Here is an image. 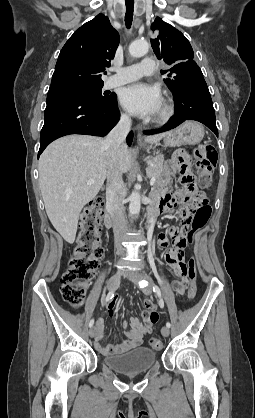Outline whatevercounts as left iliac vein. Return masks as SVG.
Instances as JSON below:
<instances>
[{
    "mask_svg": "<svg viewBox=\"0 0 255 418\" xmlns=\"http://www.w3.org/2000/svg\"><path fill=\"white\" fill-rule=\"evenodd\" d=\"M126 277L128 279H130L131 281L137 282L140 279H145L147 278L144 274L138 272V271H130L128 273H126ZM142 292L146 295H149L152 293V287L150 285L144 287L142 289ZM161 333L164 337H168L170 334V330L167 326L162 327L161 329Z\"/></svg>",
    "mask_w": 255,
    "mask_h": 418,
    "instance_id": "obj_1",
    "label": "left iliac vein"
}]
</instances>
